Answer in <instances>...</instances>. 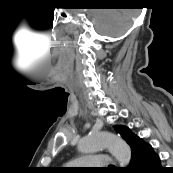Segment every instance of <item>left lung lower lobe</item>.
Wrapping results in <instances>:
<instances>
[{
	"label": "left lung lower lobe",
	"mask_w": 173,
	"mask_h": 173,
	"mask_svg": "<svg viewBox=\"0 0 173 173\" xmlns=\"http://www.w3.org/2000/svg\"><path fill=\"white\" fill-rule=\"evenodd\" d=\"M129 146L131 163L123 173H158L161 169L160 158L149 143L134 135Z\"/></svg>",
	"instance_id": "1"
}]
</instances>
